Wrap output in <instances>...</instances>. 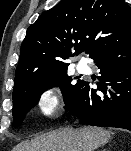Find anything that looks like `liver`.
<instances>
[{"instance_id":"1","label":"liver","mask_w":131,"mask_h":151,"mask_svg":"<svg viewBox=\"0 0 131 151\" xmlns=\"http://www.w3.org/2000/svg\"><path fill=\"white\" fill-rule=\"evenodd\" d=\"M111 139L102 128H65L42 135L31 142H23L14 151H95Z\"/></svg>"}]
</instances>
